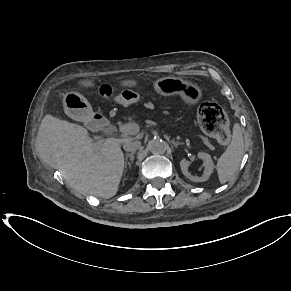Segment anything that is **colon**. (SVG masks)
I'll list each match as a JSON object with an SVG mask.
<instances>
[{"instance_id": "5ec220e1", "label": "colon", "mask_w": 291, "mask_h": 291, "mask_svg": "<svg viewBox=\"0 0 291 291\" xmlns=\"http://www.w3.org/2000/svg\"><path fill=\"white\" fill-rule=\"evenodd\" d=\"M78 89L76 88V90ZM99 94L104 98H110L113 96V90L110 85L102 84L99 88ZM137 100V96L131 91H125L116 97V101L124 104ZM198 121L206 134L215 137L223 145L229 143V118L220 105L212 101L202 103L198 108Z\"/></svg>"}]
</instances>
